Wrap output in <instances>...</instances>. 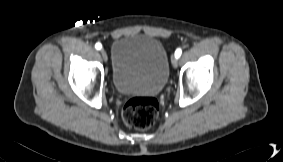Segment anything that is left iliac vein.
<instances>
[{
    "mask_svg": "<svg viewBox=\"0 0 283 162\" xmlns=\"http://www.w3.org/2000/svg\"><path fill=\"white\" fill-rule=\"evenodd\" d=\"M171 62H172V66L174 68H176L178 66V59L176 57H172Z\"/></svg>",
    "mask_w": 283,
    "mask_h": 162,
    "instance_id": "1",
    "label": "left iliac vein"
}]
</instances>
